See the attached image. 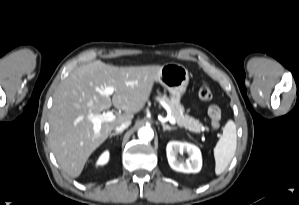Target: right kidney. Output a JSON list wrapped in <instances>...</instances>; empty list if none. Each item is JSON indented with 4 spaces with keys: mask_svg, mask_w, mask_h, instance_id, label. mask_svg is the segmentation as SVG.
Listing matches in <instances>:
<instances>
[{
    "mask_svg": "<svg viewBox=\"0 0 299 205\" xmlns=\"http://www.w3.org/2000/svg\"><path fill=\"white\" fill-rule=\"evenodd\" d=\"M109 160V152L105 151L98 159L97 165H104L108 162Z\"/></svg>",
    "mask_w": 299,
    "mask_h": 205,
    "instance_id": "ca27d5eb",
    "label": "right kidney"
}]
</instances>
